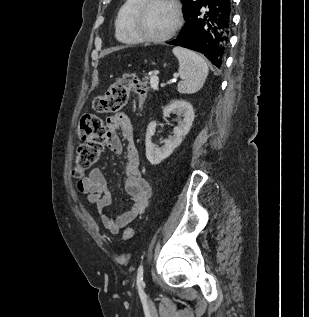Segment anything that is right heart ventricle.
<instances>
[{"label": "right heart ventricle", "mask_w": 309, "mask_h": 317, "mask_svg": "<svg viewBox=\"0 0 309 317\" xmlns=\"http://www.w3.org/2000/svg\"><path fill=\"white\" fill-rule=\"evenodd\" d=\"M142 0H125L120 6L115 18V36L118 41L125 44L139 43L130 27V19L133 11Z\"/></svg>", "instance_id": "obj_1"}]
</instances>
